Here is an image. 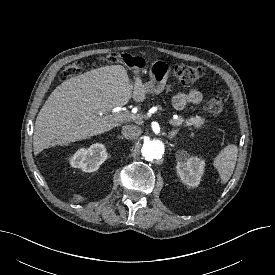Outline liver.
Listing matches in <instances>:
<instances>
[{
  "mask_svg": "<svg viewBox=\"0 0 275 275\" xmlns=\"http://www.w3.org/2000/svg\"><path fill=\"white\" fill-rule=\"evenodd\" d=\"M134 73L138 74V70ZM146 94L141 78L137 75L132 83L121 65L100 67L64 81L38 113L33 136L34 154L113 129L119 123L108 113L126 105L131 97L136 102H143Z\"/></svg>",
  "mask_w": 275,
  "mask_h": 275,
  "instance_id": "obj_1",
  "label": "liver"
}]
</instances>
